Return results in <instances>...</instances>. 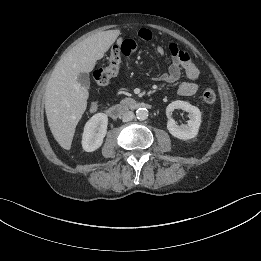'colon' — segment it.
Instances as JSON below:
<instances>
[{
    "instance_id": "obj_1",
    "label": "colon",
    "mask_w": 261,
    "mask_h": 261,
    "mask_svg": "<svg viewBox=\"0 0 261 261\" xmlns=\"http://www.w3.org/2000/svg\"><path fill=\"white\" fill-rule=\"evenodd\" d=\"M121 53L122 50L115 47L110 52L107 65L94 71L93 76L97 84L107 85L110 80L118 74L121 66ZM202 98L205 103L214 104L216 101V93L213 89L207 88L203 91Z\"/></svg>"
}]
</instances>
